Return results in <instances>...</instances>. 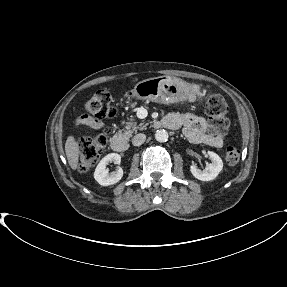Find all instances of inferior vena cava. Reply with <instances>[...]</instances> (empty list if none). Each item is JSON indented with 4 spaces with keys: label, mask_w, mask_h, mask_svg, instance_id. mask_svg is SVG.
Returning <instances> with one entry per match:
<instances>
[{
    "label": "inferior vena cava",
    "mask_w": 287,
    "mask_h": 287,
    "mask_svg": "<svg viewBox=\"0 0 287 287\" xmlns=\"http://www.w3.org/2000/svg\"><path fill=\"white\" fill-rule=\"evenodd\" d=\"M145 140H146V135L139 133L132 138V144L134 146H140L145 142Z\"/></svg>",
    "instance_id": "inferior-vena-cava-1"
}]
</instances>
